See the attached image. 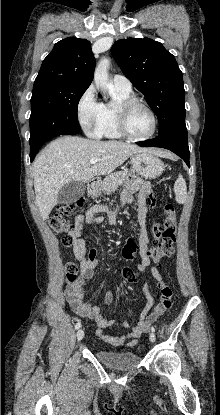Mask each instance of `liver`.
<instances>
[{"label":"liver","instance_id":"1","mask_svg":"<svg viewBox=\"0 0 220 415\" xmlns=\"http://www.w3.org/2000/svg\"><path fill=\"white\" fill-rule=\"evenodd\" d=\"M149 149L121 141H98L65 136L52 141L33 164L36 204L46 220L57 204L60 189L69 182L87 183L95 176L108 175L131 155ZM158 155L166 156L159 151ZM93 158L98 163L90 164Z\"/></svg>","mask_w":220,"mask_h":415}]
</instances>
